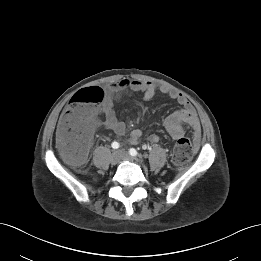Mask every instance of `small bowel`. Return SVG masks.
<instances>
[{
  "label": "small bowel",
  "instance_id": "c3829d8e",
  "mask_svg": "<svg viewBox=\"0 0 261 261\" xmlns=\"http://www.w3.org/2000/svg\"><path fill=\"white\" fill-rule=\"evenodd\" d=\"M126 90L141 92L143 94V101H149L152 99L157 90L176 100L182 108L175 110L164 118V127L173 138L178 139L183 137L185 134L186 125L192 131L195 144L199 143L201 139V125L186 97L173 88L166 86H161L158 88L151 82L140 80H120L108 87L106 98L101 106V113L104 118L101 120L96 112L93 114L88 124L89 136H91L100 126H104L117 135H122L125 133V124L118 120L113 107V101L118 95L122 94ZM67 110L68 108H66V111ZM141 137V130L135 129L131 131L129 141L131 143H137L140 141ZM149 140L151 142H157L159 140V136L157 134H151L149 135Z\"/></svg>",
  "mask_w": 261,
  "mask_h": 261
}]
</instances>
